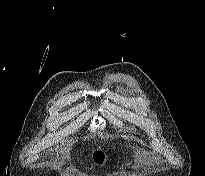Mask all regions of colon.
Wrapping results in <instances>:
<instances>
[{"label": "colon", "instance_id": "1", "mask_svg": "<svg viewBox=\"0 0 205 176\" xmlns=\"http://www.w3.org/2000/svg\"><path fill=\"white\" fill-rule=\"evenodd\" d=\"M92 157L95 163L98 165H102L104 163L105 156L102 152L100 151H94L92 153Z\"/></svg>", "mask_w": 205, "mask_h": 176}]
</instances>
